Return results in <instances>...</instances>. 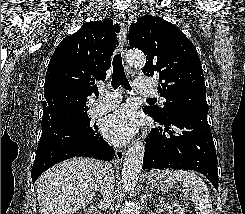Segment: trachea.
<instances>
[{
    "mask_svg": "<svg viewBox=\"0 0 245 214\" xmlns=\"http://www.w3.org/2000/svg\"><path fill=\"white\" fill-rule=\"evenodd\" d=\"M111 84L114 89H117L121 85L126 90L131 91L130 84L125 76L124 68L122 65L121 54H116L113 58V74H112ZM148 100H155V99L149 98Z\"/></svg>",
    "mask_w": 245,
    "mask_h": 214,
    "instance_id": "1",
    "label": "trachea"
}]
</instances>
